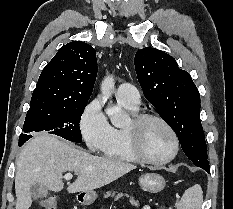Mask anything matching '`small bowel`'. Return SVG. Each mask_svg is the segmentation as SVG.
Here are the masks:
<instances>
[{
  "label": "small bowel",
  "instance_id": "1",
  "mask_svg": "<svg viewBox=\"0 0 233 209\" xmlns=\"http://www.w3.org/2000/svg\"><path fill=\"white\" fill-rule=\"evenodd\" d=\"M140 209H152V208L150 206L146 205V206L141 207Z\"/></svg>",
  "mask_w": 233,
  "mask_h": 209
}]
</instances>
